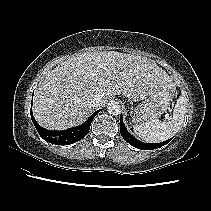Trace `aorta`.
<instances>
[{
    "label": "aorta",
    "mask_w": 211,
    "mask_h": 211,
    "mask_svg": "<svg viewBox=\"0 0 211 211\" xmlns=\"http://www.w3.org/2000/svg\"><path fill=\"white\" fill-rule=\"evenodd\" d=\"M107 111L112 115H119L121 113V106L118 102L112 101L107 105Z\"/></svg>",
    "instance_id": "obj_1"
}]
</instances>
